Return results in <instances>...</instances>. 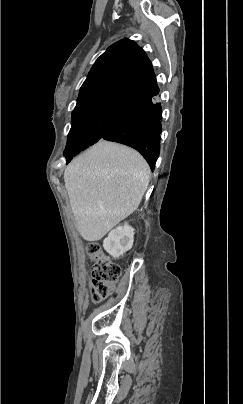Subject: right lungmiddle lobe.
Returning a JSON list of instances; mask_svg holds the SVG:
<instances>
[{"label":"right lung middle lobe","instance_id":"1","mask_svg":"<svg viewBox=\"0 0 243 404\" xmlns=\"http://www.w3.org/2000/svg\"><path fill=\"white\" fill-rule=\"evenodd\" d=\"M126 104V102L110 100L75 108L72 112V127L64 150L66 163L98 142Z\"/></svg>","mask_w":243,"mask_h":404}]
</instances>
